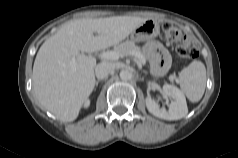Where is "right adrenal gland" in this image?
Masks as SVG:
<instances>
[{
    "label": "right adrenal gland",
    "mask_w": 238,
    "mask_h": 158,
    "mask_svg": "<svg viewBox=\"0 0 238 158\" xmlns=\"http://www.w3.org/2000/svg\"><path fill=\"white\" fill-rule=\"evenodd\" d=\"M98 83H99V80L96 82V85H98Z\"/></svg>",
    "instance_id": "obj_1"
}]
</instances>
